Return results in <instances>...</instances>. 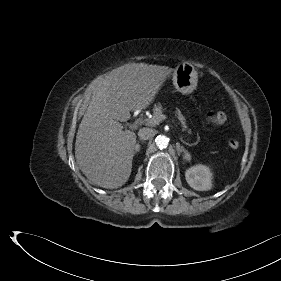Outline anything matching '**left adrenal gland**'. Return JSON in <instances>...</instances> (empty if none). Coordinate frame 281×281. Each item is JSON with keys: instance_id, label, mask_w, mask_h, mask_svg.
<instances>
[{"instance_id": "1", "label": "left adrenal gland", "mask_w": 281, "mask_h": 281, "mask_svg": "<svg viewBox=\"0 0 281 281\" xmlns=\"http://www.w3.org/2000/svg\"><path fill=\"white\" fill-rule=\"evenodd\" d=\"M176 150H177L178 155H180V153L183 152L184 153L183 158L184 159L188 158L189 153H188V151L183 146H180V144H176Z\"/></svg>"}]
</instances>
